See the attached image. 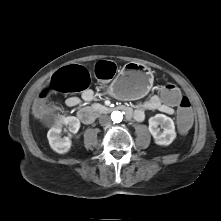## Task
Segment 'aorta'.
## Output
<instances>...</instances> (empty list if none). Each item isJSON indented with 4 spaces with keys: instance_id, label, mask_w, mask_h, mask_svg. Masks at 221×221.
Here are the masks:
<instances>
[{
    "instance_id": "aorta-1",
    "label": "aorta",
    "mask_w": 221,
    "mask_h": 221,
    "mask_svg": "<svg viewBox=\"0 0 221 221\" xmlns=\"http://www.w3.org/2000/svg\"><path fill=\"white\" fill-rule=\"evenodd\" d=\"M111 119L114 123H120L123 120V113L120 111H113Z\"/></svg>"
}]
</instances>
